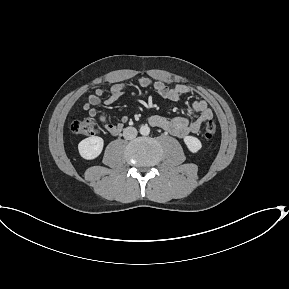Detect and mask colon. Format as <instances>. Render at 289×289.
Instances as JSON below:
<instances>
[{
  "mask_svg": "<svg viewBox=\"0 0 289 289\" xmlns=\"http://www.w3.org/2000/svg\"><path fill=\"white\" fill-rule=\"evenodd\" d=\"M70 129L73 133L81 136H93L97 133L96 123L91 118L74 120ZM216 134V124L213 120H209L203 131V136L206 140H211Z\"/></svg>",
  "mask_w": 289,
  "mask_h": 289,
  "instance_id": "5ec220e1",
  "label": "colon"
}]
</instances>
